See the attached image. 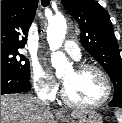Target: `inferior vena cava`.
Returning a JSON list of instances; mask_svg holds the SVG:
<instances>
[{"label": "inferior vena cava", "mask_w": 122, "mask_h": 123, "mask_svg": "<svg viewBox=\"0 0 122 123\" xmlns=\"http://www.w3.org/2000/svg\"><path fill=\"white\" fill-rule=\"evenodd\" d=\"M41 104L45 107L49 106V101L48 100H40Z\"/></svg>", "instance_id": "602c4592"}]
</instances>
